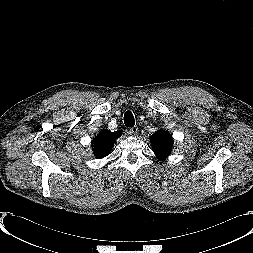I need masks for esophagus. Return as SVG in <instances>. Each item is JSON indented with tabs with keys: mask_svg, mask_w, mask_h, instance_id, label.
Wrapping results in <instances>:
<instances>
[{
	"mask_svg": "<svg viewBox=\"0 0 253 253\" xmlns=\"http://www.w3.org/2000/svg\"><path fill=\"white\" fill-rule=\"evenodd\" d=\"M129 133H130V135H132V136L138 135V127H137V126L131 127V128L129 129Z\"/></svg>",
	"mask_w": 253,
	"mask_h": 253,
	"instance_id": "34e87169",
	"label": "esophagus"
}]
</instances>
